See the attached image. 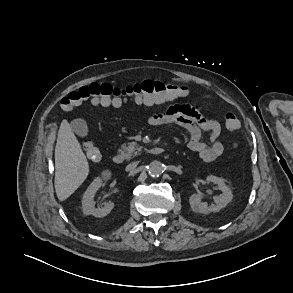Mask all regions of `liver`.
I'll use <instances>...</instances> for the list:
<instances>
[{"instance_id": "6515ba94", "label": "liver", "mask_w": 293, "mask_h": 293, "mask_svg": "<svg viewBox=\"0 0 293 293\" xmlns=\"http://www.w3.org/2000/svg\"><path fill=\"white\" fill-rule=\"evenodd\" d=\"M88 174L89 164L81 145L68 121L63 120L55 147V191L58 199H67Z\"/></svg>"}]
</instances>
